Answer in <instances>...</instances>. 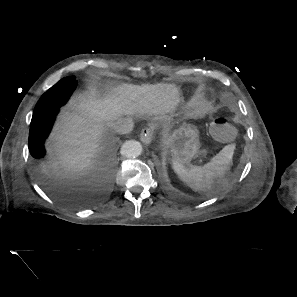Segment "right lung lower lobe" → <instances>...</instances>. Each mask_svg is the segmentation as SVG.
Listing matches in <instances>:
<instances>
[{"instance_id": "right-lung-lower-lobe-1", "label": "right lung lower lobe", "mask_w": 297, "mask_h": 297, "mask_svg": "<svg viewBox=\"0 0 297 297\" xmlns=\"http://www.w3.org/2000/svg\"><path fill=\"white\" fill-rule=\"evenodd\" d=\"M69 97L57 104L44 117L39 119H32L29 131V151L35 160H42L46 155L44 148L45 140L47 139L60 107L65 105Z\"/></svg>"}]
</instances>
